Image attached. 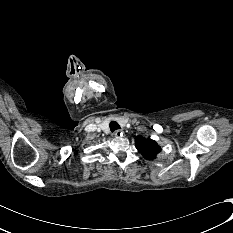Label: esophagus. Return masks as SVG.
I'll return each mask as SVG.
<instances>
[{
    "mask_svg": "<svg viewBox=\"0 0 233 233\" xmlns=\"http://www.w3.org/2000/svg\"><path fill=\"white\" fill-rule=\"evenodd\" d=\"M114 135H115L116 138H121V137L123 136V131H121V130H116V131L114 132Z\"/></svg>",
    "mask_w": 233,
    "mask_h": 233,
    "instance_id": "esophagus-1",
    "label": "esophagus"
}]
</instances>
